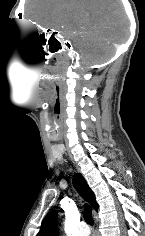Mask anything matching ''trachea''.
I'll return each instance as SVG.
<instances>
[{
    "label": "trachea",
    "instance_id": "1",
    "mask_svg": "<svg viewBox=\"0 0 145 236\" xmlns=\"http://www.w3.org/2000/svg\"><path fill=\"white\" fill-rule=\"evenodd\" d=\"M84 219L89 225H93L92 209L88 204H84Z\"/></svg>",
    "mask_w": 145,
    "mask_h": 236
}]
</instances>
